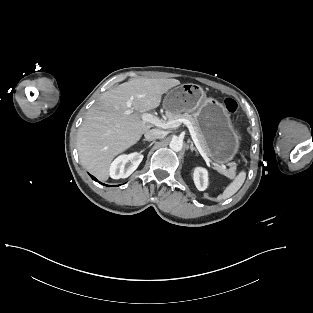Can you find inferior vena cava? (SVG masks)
<instances>
[{
    "instance_id": "602c4592",
    "label": "inferior vena cava",
    "mask_w": 313,
    "mask_h": 313,
    "mask_svg": "<svg viewBox=\"0 0 313 313\" xmlns=\"http://www.w3.org/2000/svg\"><path fill=\"white\" fill-rule=\"evenodd\" d=\"M145 138L147 140L163 139L166 136V132L159 129H151L145 133Z\"/></svg>"
}]
</instances>
